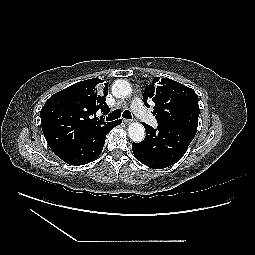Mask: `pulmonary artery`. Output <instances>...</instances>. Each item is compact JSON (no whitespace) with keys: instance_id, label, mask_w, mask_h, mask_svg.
I'll list each match as a JSON object with an SVG mask.
<instances>
[{"instance_id":"1","label":"pulmonary artery","mask_w":255,"mask_h":255,"mask_svg":"<svg viewBox=\"0 0 255 255\" xmlns=\"http://www.w3.org/2000/svg\"><path fill=\"white\" fill-rule=\"evenodd\" d=\"M130 107L132 112L142 121L150 124L153 127H157L158 123L155 117L143 106L139 97H134L132 99Z\"/></svg>"}]
</instances>
